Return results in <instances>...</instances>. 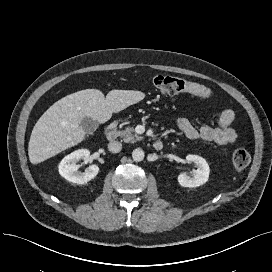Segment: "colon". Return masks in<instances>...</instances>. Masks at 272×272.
Here are the masks:
<instances>
[{"instance_id":"colon-1","label":"colon","mask_w":272,"mask_h":272,"mask_svg":"<svg viewBox=\"0 0 272 272\" xmlns=\"http://www.w3.org/2000/svg\"><path fill=\"white\" fill-rule=\"evenodd\" d=\"M153 86L163 94L176 95L189 93L202 98H210L212 92L207 87L170 75H157L152 80ZM250 154L244 149H237L232 155L235 169L243 170L250 164Z\"/></svg>"}]
</instances>
